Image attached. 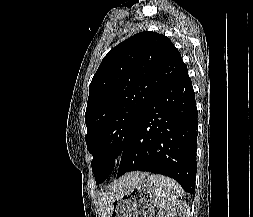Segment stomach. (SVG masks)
Wrapping results in <instances>:
<instances>
[{"label":"stomach","mask_w":253,"mask_h":217,"mask_svg":"<svg viewBox=\"0 0 253 217\" xmlns=\"http://www.w3.org/2000/svg\"><path fill=\"white\" fill-rule=\"evenodd\" d=\"M156 199L153 184L142 179L112 203L109 217H153Z\"/></svg>","instance_id":"stomach-1"}]
</instances>
